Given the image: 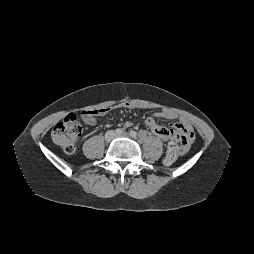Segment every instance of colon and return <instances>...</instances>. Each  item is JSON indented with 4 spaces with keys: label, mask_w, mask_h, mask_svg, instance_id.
<instances>
[{
    "label": "colon",
    "mask_w": 254,
    "mask_h": 254,
    "mask_svg": "<svg viewBox=\"0 0 254 254\" xmlns=\"http://www.w3.org/2000/svg\"><path fill=\"white\" fill-rule=\"evenodd\" d=\"M99 111L100 109L87 111V114L94 116L98 114ZM82 133L83 129L78 121L77 115L71 114L54 126L51 136L53 142L60 146L67 154H73L76 151ZM180 155L179 144L177 142L170 143L165 163L168 165L173 164Z\"/></svg>",
    "instance_id": "obj_1"
}]
</instances>
